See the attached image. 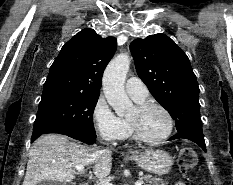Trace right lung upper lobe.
<instances>
[{
	"label": "right lung upper lobe",
	"mask_w": 233,
	"mask_h": 185,
	"mask_svg": "<svg viewBox=\"0 0 233 185\" xmlns=\"http://www.w3.org/2000/svg\"><path fill=\"white\" fill-rule=\"evenodd\" d=\"M116 47V38H102L92 29L77 33L53 62L43 92L99 95L103 72Z\"/></svg>",
	"instance_id": "cb5924a9"
}]
</instances>
